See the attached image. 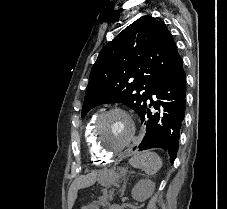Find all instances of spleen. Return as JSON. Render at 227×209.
<instances>
[{
  "instance_id": "spleen-1",
  "label": "spleen",
  "mask_w": 227,
  "mask_h": 209,
  "mask_svg": "<svg viewBox=\"0 0 227 209\" xmlns=\"http://www.w3.org/2000/svg\"><path fill=\"white\" fill-rule=\"evenodd\" d=\"M130 165L135 169H142L146 175H155L160 171L163 161L160 159L157 153H150V151H142V153H136L134 157L129 159Z\"/></svg>"
}]
</instances>
